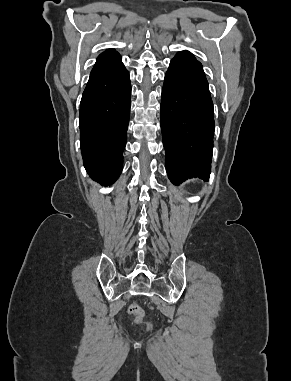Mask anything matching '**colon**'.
<instances>
[{
    "label": "colon",
    "mask_w": 291,
    "mask_h": 381,
    "mask_svg": "<svg viewBox=\"0 0 291 381\" xmlns=\"http://www.w3.org/2000/svg\"><path fill=\"white\" fill-rule=\"evenodd\" d=\"M128 312L134 316L136 322H141L144 318V312L137 304H131Z\"/></svg>",
    "instance_id": "colon-1"
}]
</instances>
